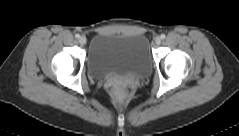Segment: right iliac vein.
Returning <instances> with one entry per match:
<instances>
[{
	"mask_svg": "<svg viewBox=\"0 0 239 136\" xmlns=\"http://www.w3.org/2000/svg\"><path fill=\"white\" fill-rule=\"evenodd\" d=\"M79 43H80L81 45H85V44L87 43L86 37H85V36H81V37L79 38Z\"/></svg>",
	"mask_w": 239,
	"mask_h": 136,
	"instance_id": "right-iliac-vein-1",
	"label": "right iliac vein"
}]
</instances>
